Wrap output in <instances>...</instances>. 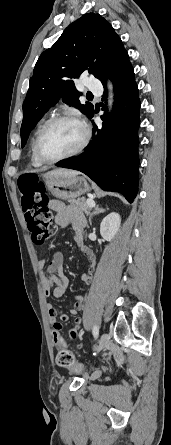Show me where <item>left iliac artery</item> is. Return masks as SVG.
Segmentation results:
<instances>
[{"mask_svg": "<svg viewBox=\"0 0 171 445\" xmlns=\"http://www.w3.org/2000/svg\"><path fill=\"white\" fill-rule=\"evenodd\" d=\"M98 335H99V328H98V326L95 325L93 327V336H94L95 339H97Z\"/></svg>", "mask_w": 171, "mask_h": 445, "instance_id": "44dca946", "label": "left iliac artery"}]
</instances>
